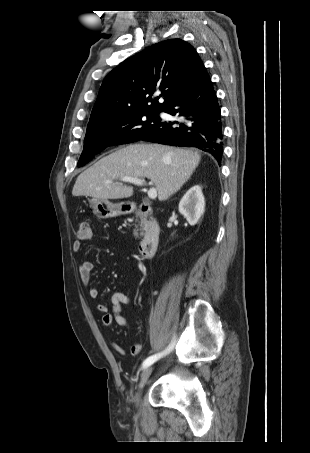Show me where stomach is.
Wrapping results in <instances>:
<instances>
[{
  "label": "stomach",
  "mask_w": 310,
  "mask_h": 453,
  "mask_svg": "<svg viewBox=\"0 0 310 453\" xmlns=\"http://www.w3.org/2000/svg\"><path fill=\"white\" fill-rule=\"evenodd\" d=\"M89 204L100 219L113 218L124 213V204H114L105 199L91 198Z\"/></svg>",
  "instance_id": "stomach-1"
}]
</instances>
